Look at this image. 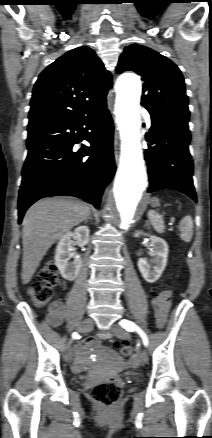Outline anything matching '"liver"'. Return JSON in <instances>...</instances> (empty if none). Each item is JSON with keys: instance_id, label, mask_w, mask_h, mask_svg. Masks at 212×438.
Listing matches in <instances>:
<instances>
[{"instance_id": "liver-1", "label": "liver", "mask_w": 212, "mask_h": 438, "mask_svg": "<svg viewBox=\"0 0 212 438\" xmlns=\"http://www.w3.org/2000/svg\"><path fill=\"white\" fill-rule=\"evenodd\" d=\"M90 207L72 198H46L33 204L23 219L22 282L32 279L42 258L54 242L84 221Z\"/></svg>"}]
</instances>
